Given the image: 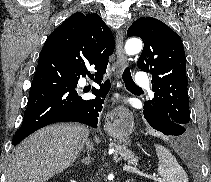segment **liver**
Returning <instances> with one entry per match:
<instances>
[{"label": "liver", "mask_w": 211, "mask_h": 182, "mask_svg": "<svg viewBox=\"0 0 211 182\" xmlns=\"http://www.w3.org/2000/svg\"><path fill=\"white\" fill-rule=\"evenodd\" d=\"M89 130L80 124L45 127L24 139L9 158L7 182H45L70 167L82 151ZM97 143L99 138H95Z\"/></svg>", "instance_id": "obj_1"}]
</instances>
